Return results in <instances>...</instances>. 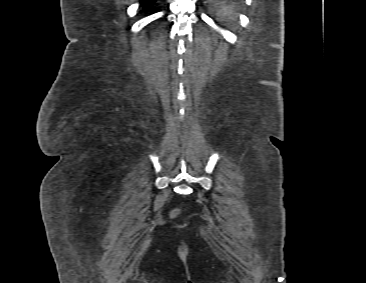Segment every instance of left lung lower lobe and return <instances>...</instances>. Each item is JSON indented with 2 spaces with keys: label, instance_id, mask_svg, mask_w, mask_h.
Wrapping results in <instances>:
<instances>
[{
  "label": "left lung lower lobe",
  "instance_id": "left-lung-lower-lobe-1",
  "mask_svg": "<svg viewBox=\"0 0 366 283\" xmlns=\"http://www.w3.org/2000/svg\"><path fill=\"white\" fill-rule=\"evenodd\" d=\"M241 0H207L216 10L221 12H231L238 7Z\"/></svg>",
  "mask_w": 366,
  "mask_h": 283
}]
</instances>
